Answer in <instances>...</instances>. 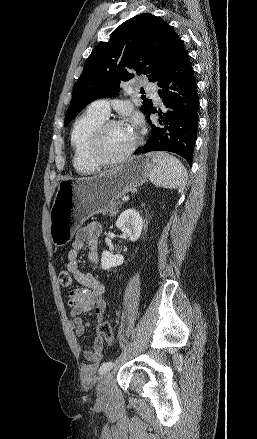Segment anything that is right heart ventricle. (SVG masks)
<instances>
[{
  "label": "right heart ventricle",
  "mask_w": 257,
  "mask_h": 439,
  "mask_svg": "<svg viewBox=\"0 0 257 439\" xmlns=\"http://www.w3.org/2000/svg\"><path fill=\"white\" fill-rule=\"evenodd\" d=\"M104 120H106V116L88 109L73 125L70 135L73 165L80 173L91 174L98 168V164L90 155L89 141L95 128Z\"/></svg>",
  "instance_id": "1"
}]
</instances>
